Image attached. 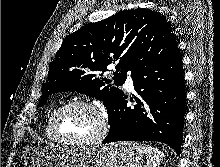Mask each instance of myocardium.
I'll return each instance as SVG.
<instances>
[{
  "label": "myocardium",
  "instance_id": "1",
  "mask_svg": "<svg viewBox=\"0 0 220 167\" xmlns=\"http://www.w3.org/2000/svg\"><path fill=\"white\" fill-rule=\"evenodd\" d=\"M72 106L85 107L91 110L97 116L99 127L93 136L82 140H66L59 136L57 130V120L63 111H65L66 109ZM50 129L54 141L61 145L70 146V147H88V146L96 145L105 139L109 131V120L107 113L98 105L87 100L76 99L62 104L58 109L54 111L51 118Z\"/></svg>",
  "mask_w": 220,
  "mask_h": 167
}]
</instances>
